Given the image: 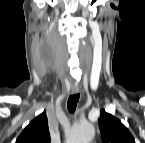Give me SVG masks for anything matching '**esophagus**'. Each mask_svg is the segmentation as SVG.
<instances>
[{"label":"esophagus","instance_id":"esophagus-1","mask_svg":"<svg viewBox=\"0 0 145 143\" xmlns=\"http://www.w3.org/2000/svg\"><path fill=\"white\" fill-rule=\"evenodd\" d=\"M71 92H72L73 94H77V93L79 92V87L76 86V85H73V86L71 87Z\"/></svg>","mask_w":145,"mask_h":143}]
</instances>
